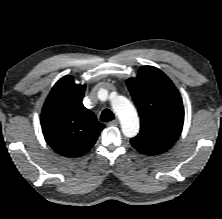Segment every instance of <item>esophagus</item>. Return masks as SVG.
<instances>
[{
  "label": "esophagus",
  "mask_w": 222,
  "mask_h": 219,
  "mask_svg": "<svg viewBox=\"0 0 222 219\" xmlns=\"http://www.w3.org/2000/svg\"><path fill=\"white\" fill-rule=\"evenodd\" d=\"M119 124V122H118V120L117 119H115V120H113V121H111V122H109V126H117Z\"/></svg>",
  "instance_id": "esophagus-1"
}]
</instances>
